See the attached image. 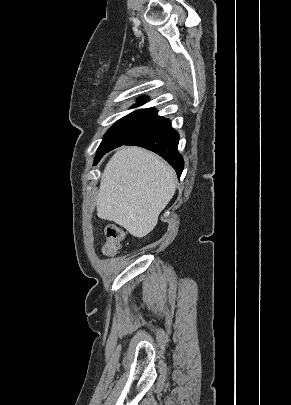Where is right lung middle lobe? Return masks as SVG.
I'll list each match as a JSON object with an SVG mask.
<instances>
[{"instance_id": "obj_1", "label": "right lung middle lobe", "mask_w": 291, "mask_h": 405, "mask_svg": "<svg viewBox=\"0 0 291 405\" xmlns=\"http://www.w3.org/2000/svg\"><path fill=\"white\" fill-rule=\"evenodd\" d=\"M142 103L136 104L140 106ZM163 117L157 115L153 108L136 110L121 118L104 135L95 156L97 163L107 152L122 146L124 143L160 122Z\"/></svg>"}]
</instances>
